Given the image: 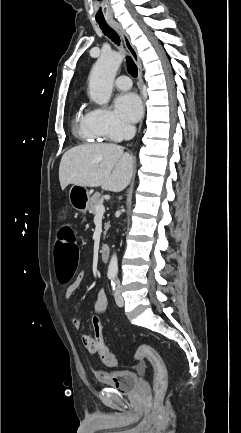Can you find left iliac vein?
<instances>
[{
  "instance_id": "1",
  "label": "left iliac vein",
  "mask_w": 241,
  "mask_h": 433,
  "mask_svg": "<svg viewBox=\"0 0 241 433\" xmlns=\"http://www.w3.org/2000/svg\"><path fill=\"white\" fill-rule=\"evenodd\" d=\"M115 301L119 307L124 305V299L119 288H117L115 291Z\"/></svg>"
}]
</instances>
